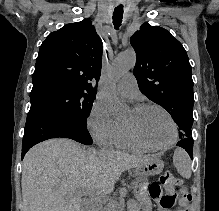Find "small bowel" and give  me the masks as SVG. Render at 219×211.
<instances>
[{
  "label": "small bowel",
  "mask_w": 219,
  "mask_h": 211,
  "mask_svg": "<svg viewBox=\"0 0 219 211\" xmlns=\"http://www.w3.org/2000/svg\"><path fill=\"white\" fill-rule=\"evenodd\" d=\"M152 198L158 203L159 210L158 211H189L188 205L190 198L182 203L179 208L173 209L174 201L168 195L162 194L160 191H156L152 193Z\"/></svg>",
  "instance_id": "c3829d8e"
}]
</instances>
